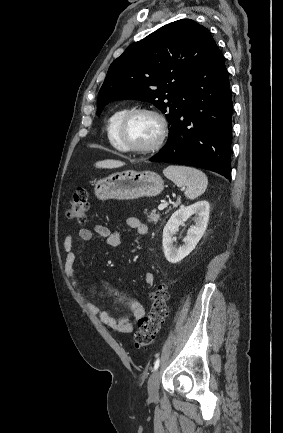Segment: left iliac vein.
<instances>
[{"label":"left iliac vein","instance_id":"left-iliac-vein-1","mask_svg":"<svg viewBox=\"0 0 283 433\" xmlns=\"http://www.w3.org/2000/svg\"><path fill=\"white\" fill-rule=\"evenodd\" d=\"M159 370H155L148 380V394L150 399H157L159 396Z\"/></svg>","mask_w":283,"mask_h":433}]
</instances>
